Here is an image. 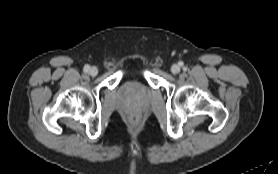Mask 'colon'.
<instances>
[{"mask_svg": "<svg viewBox=\"0 0 278 174\" xmlns=\"http://www.w3.org/2000/svg\"><path fill=\"white\" fill-rule=\"evenodd\" d=\"M132 122H133V123H136V122H137V119H136V118H133V119H132Z\"/></svg>", "mask_w": 278, "mask_h": 174, "instance_id": "colon-1", "label": "colon"}]
</instances>
